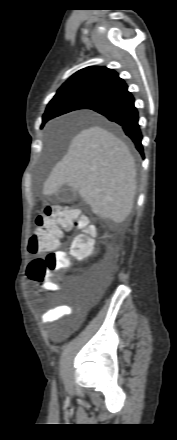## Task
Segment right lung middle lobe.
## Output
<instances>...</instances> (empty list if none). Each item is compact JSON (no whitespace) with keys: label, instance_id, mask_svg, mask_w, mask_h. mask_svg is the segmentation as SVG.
I'll list each match as a JSON object with an SVG mask.
<instances>
[{"label":"right lung middle lobe","instance_id":"obj_1","mask_svg":"<svg viewBox=\"0 0 177 440\" xmlns=\"http://www.w3.org/2000/svg\"><path fill=\"white\" fill-rule=\"evenodd\" d=\"M93 101L92 97L76 92L56 94L47 106L44 116H48V119L43 120V123L70 111L84 109Z\"/></svg>","mask_w":177,"mask_h":440}]
</instances>
